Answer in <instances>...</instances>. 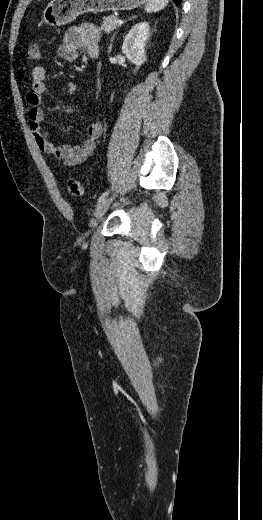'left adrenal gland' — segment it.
<instances>
[{"label": "left adrenal gland", "instance_id": "left-adrenal-gland-1", "mask_svg": "<svg viewBox=\"0 0 263 520\" xmlns=\"http://www.w3.org/2000/svg\"><path fill=\"white\" fill-rule=\"evenodd\" d=\"M134 18H136V16H134L132 19H134ZM115 35H116V33H114V35H113L112 38H111V43H110V47H109L110 50H111L112 42H113V40H114Z\"/></svg>", "mask_w": 263, "mask_h": 520}]
</instances>
